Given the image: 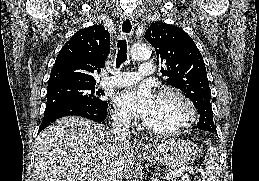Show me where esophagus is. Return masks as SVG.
Returning <instances> with one entry per match:
<instances>
[{"label":"esophagus","instance_id":"34e87169","mask_svg":"<svg viewBox=\"0 0 259 181\" xmlns=\"http://www.w3.org/2000/svg\"><path fill=\"white\" fill-rule=\"evenodd\" d=\"M134 31V24H133V19L130 16H126L123 18L120 26V34L122 36H131ZM134 146L138 150H146L147 145L145 142L141 139H138L134 142Z\"/></svg>","mask_w":259,"mask_h":181}]
</instances>
